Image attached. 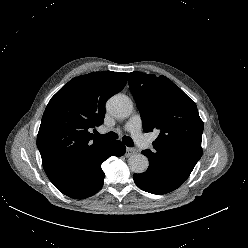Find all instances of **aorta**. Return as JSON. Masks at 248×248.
<instances>
[{"label":"aorta","instance_id":"1","mask_svg":"<svg viewBox=\"0 0 248 248\" xmlns=\"http://www.w3.org/2000/svg\"><path fill=\"white\" fill-rule=\"evenodd\" d=\"M107 109L114 117L124 119L132 114L133 104L129 97L117 94L108 100ZM128 165L133 173L141 174L147 170L149 161L143 154H133L128 159Z\"/></svg>","mask_w":248,"mask_h":248}]
</instances>
